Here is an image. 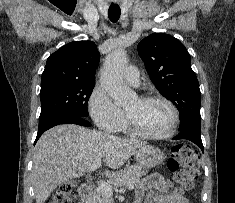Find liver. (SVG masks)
<instances>
[{
  "label": "liver",
  "mask_w": 235,
  "mask_h": 203,
  "mask_svg": "<svg viewBox=\"0 0 235 203\" xmlns=\"http://www.w3.org/2000/svg\"><path fill=\"white\" fill-rule=\"evenodd\" d=\"M145 142L120 138L75 124L58 125L38 140L33 154L32 183L36 203H44L61 183L79 178L97 160L120 168ZM105 175L111 176L106 169Z\"/></svg>",
  "instance_id": "6515ba94"
}]
</instances>
